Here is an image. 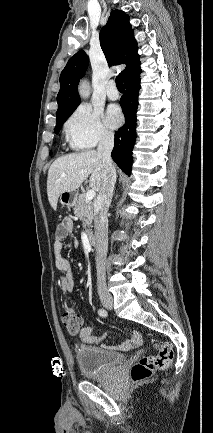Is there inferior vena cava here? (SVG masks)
<instances>
[{
    "mask_svg": "<svg viewBox=\"0 0 213 433\" xmlns=\"http://www.w3.org/2000/svg\"><path fill=\"white\" fill-rule=\"evenodd\" d=\"M114 146V135L103 132L98 144V154L103 162V181L96 200L94 201V227L96 240L97 289L99 293L106 292L105 263L108 250V219L107 212L112 200L116 182V170L111 159Z\"/></svg>",
    "mask_w": 213,
    "mask_h": 433,
    "instance_id": "1",
    "label": "inferior vena cava"
}]
</instances>
